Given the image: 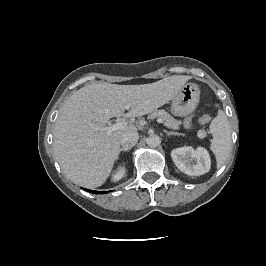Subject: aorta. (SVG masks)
Masks as SVG:
<instances>
[{
	"label": "aorta",
	"mask_w": 266,
	"mask_h": 266,
	"mask_svg": "<svg viewBox=\"0 0 266 266\" xmlns=\"http://www.w3.org/2000/svg\"><path fill=\"white\" fill-rule=\"evenodd\" d=\"M161 143V138L157 135H151L147 139V145L150 147H157Z\"/></svg>",
	"instance_id": "obj_1"
}]
</instances>
